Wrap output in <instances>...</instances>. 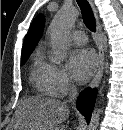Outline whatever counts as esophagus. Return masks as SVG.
Masks as SVG:
<instances>
[{
  "label": "esophagus",
  "mask_w": 123,
  "mask_h": 130,
  "mask_svg": "<svg viewBox=\"0 0 123 130\" xmlns=\"http://www.w3.org/2000/svg\"><path fill=\"white\" fill-rule=\"evenodd\" d=\"M92 8H93V11H94V14L96 16V19H97V37H98V54H99V65H98V68H97V72L95 74V76L93 77L91 83H90V87L93 88V87H96L100 80H101V77H102V74H103V69H104V45H103V38H102V27H101V24L99 22V19H98V16H97V11L93 5V2L92 0H89Z\"/></svg>",
  "instance_id": "1"
}]
</instances>
